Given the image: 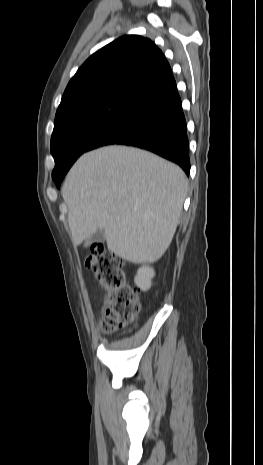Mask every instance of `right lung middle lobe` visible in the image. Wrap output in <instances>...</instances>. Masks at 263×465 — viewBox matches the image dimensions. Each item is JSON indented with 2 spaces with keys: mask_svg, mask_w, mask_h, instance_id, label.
I'll return each mask as SVG.
<instances>
[{
  "mask_svg": "<svg viewBox=\"0 0 263 465\" xmlns=\"http://www.w3.org/2000/svg\"><path fill=\"white\" fill-rule=\"evenodd\" d=\"M134 97L107 96L79 104L55 116L51 154L52 178L61 180L76 159L132 105Z\"/></svg>",
  "mask_w": 263,
  "mask_h": 465,
  "instance_id": "right-lung-middle-lobe-1",
  "label": "right lung middle lobe"
}]
</instances>
